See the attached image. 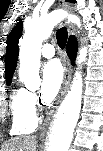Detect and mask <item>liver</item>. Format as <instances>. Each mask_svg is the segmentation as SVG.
<instances>
[{"label": "liver", "mask_w": 103, "mask_h": 151, "mask_svg": "<svg viewBox=\"0 0 103 151\" xmlns=\"http://www.w3.org/2000/svg\"><path fill=\"white\" fill-rule=\"evenodd\" d=\"M36 137H14L0 146V151H36Z\"/></svg>", "instance_id": "6515ba94"}]
</instances>
